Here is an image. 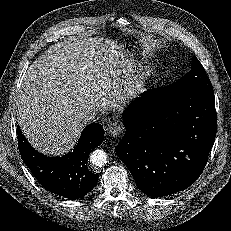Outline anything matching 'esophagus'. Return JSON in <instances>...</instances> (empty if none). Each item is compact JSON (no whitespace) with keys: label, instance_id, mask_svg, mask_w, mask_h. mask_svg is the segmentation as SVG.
<instances>
[{"label":"esophagus","instance_id":"1","mask_svg":"<svg viewBox=\"0 0 231 231\" xmlns=\"http://www.w3.org/2000/svg\"><path fill=\"white\" fill-rule=\"evenodd\" d=\"M108 134L112 136H118L123 131V126L118 122H111L107 127Z\"/></svg>","mask_w":231,"mask_h":231}]
</instances>
